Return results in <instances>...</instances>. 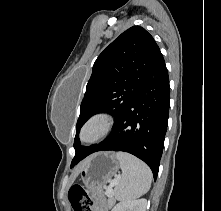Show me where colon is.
Returning a JSON list of instances; mask_svg holds the SVG:
<instances>
[{
  "mask_svg": "<svg viewBox=\"0 0 221 211\" xmlns=\"http://www.w3.org/2000/svg\"><path fill=\"white\" fill-rule=\"evenodd\" d=\"M68 199L74 211H92L93 201L81 185H73Z\"/></svg>",
  "mask_w": 221,
  "mask_h": 211,
  "instance_id": "colon-1",
  "label": "colon"
}]
</instances>
